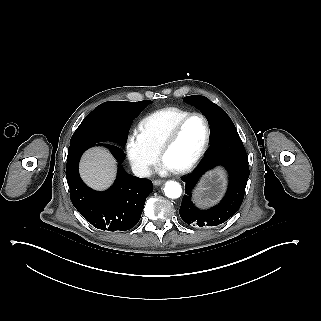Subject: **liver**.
Instances as JSON below:
<instances>
[{"label": "liver", "mask_w": 321, "mask_h": 321, "mask_svg": "<svg viewBox=\"0 0 321 321\" xmlns=\"http://www.w3.org/2000/svg\"><path fill=\"white\" fill-rule=\"evenodd\" d=\"M81 173L90 185L97 188L104 187L113 178L114 162L105 151L94 149L84 156Z\"/></svg>", "instance_id": "obj_1"}]
</instances>
